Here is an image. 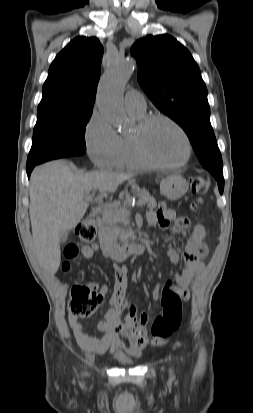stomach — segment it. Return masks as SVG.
Returning <instances> with one entry per match:
<instances>
[{"mask_svg":"<svg viewBox=\"0 0 253 413\" xmlns=\"http://www.w3.org/2000/svg\"><path fill=\"white\" fill-rule=\"evenodd\" d=\"M188 182L179 174H172L160 183V192L169 200H178L188 191Z\"/></svg>","mask_w":253,"mask_h":413,"instance_id":"0dacf381","label":"stomach"}]
</instances>
